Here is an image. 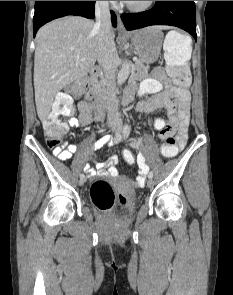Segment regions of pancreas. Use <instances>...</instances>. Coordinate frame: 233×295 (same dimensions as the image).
<instances>
[{
  "label": "pancreas",
  "mask_w": 233,
  "mask_h": 295,
  "mask_svg": "<svg viewBox=\"0 0 233 295\" xmlns=\"http://www.w3.org/2000/svg\"><path fill=\"white\" fill-rule=\"evenodd\" d=\"M149 68V65H145L144 61L140 59L137 60L135 62L136 72L134 73V77L138 80L146 78L148 76ZM98 77L92 80V87L90 88V91L93 95H100L104 92V76L99 75Z\"/></svg>",
  "instance_id": "pancreas-1"
}]
</instances>
